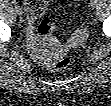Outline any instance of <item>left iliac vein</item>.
Returning a JSON list of instances; mask_svg holds the SVG:
<instances>
[{
  "instance_id": "obj_1",
  "label": "left iliac vein",
  "mask_w": 111,
  "mask_h": 106,
  "mask_svg": "<svg viewBox=\"0 0 111 106\" xmlns=\"http://www.w3.org/2000/svg\"><path fill=\"white\" fill-rule=\"evenodd\" d=\"M95 6H96V1H90L89 7L90 8H95Z\"/></svg>"
}]
</instances>
